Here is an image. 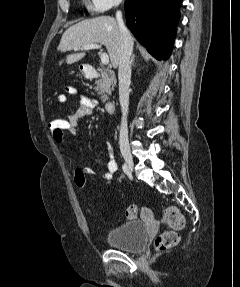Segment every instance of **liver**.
Masks as SVG:
<instances>
[{
  "instance_id": "1",
  "label": "liver",
  "mask_w": 240,
  "mask_h": 287,
  "mask_svg": "<svg viewBox=\"0 0 240 287\" xmlns=\"http://www.w3.org/2000/svg\"><path fill=\"white\" fill-rule=\"evenodd\" d=\"M94 43H100L106 47L113 67H117L121 36L117 20L110 16L83 20L69 27L61 38L58 50L65 52ZM84 56V52L70 54L66 57V63H75Z\"/></svg>"
}]
</instances>
